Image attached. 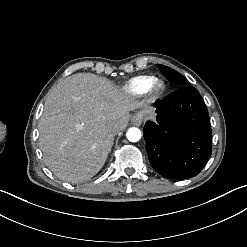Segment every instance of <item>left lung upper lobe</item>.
Wrapping results in <instances>:
<instances>
[{"label":"left lung upper lobe","mask_w":247,"mask_h":247,"mask_svg":"<svg viewBox=\"0 0 247 247\" xmlns=\"http://www.w3.org/2000/svg\"><path fill=\"white\" fill-rule=\"evenodd\" d=\"M157 66L161 69V71L163 72L164 76L169 81L178 83L182 87L190 85L189 81L183 75L178 73L177 71H175V70H173V69H171V68H169L167 66L161 65V64H158Z\"/></svg>","instance_id":"1"}]
</instances>
